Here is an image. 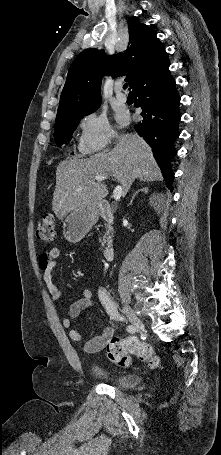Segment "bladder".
<instances>
[{
    "instance_id": "obj_1",
    "label": "bladder",
    "mask_w": 221,
    "mask_h": 455,
    "mask_svg": "<svg viewBox=\"0 0 221 455\" xmlns=\"http://www.w3.org/2000/svg\"><path fill=\"white\" fill-rule=\"evenodd\" d=\"M90 371L94 376L108 381L120 389L135 388L141 381L139 375L116 372L96 363L91 364Z\"/></svg>"
}]
</instances>
